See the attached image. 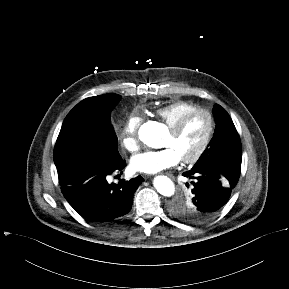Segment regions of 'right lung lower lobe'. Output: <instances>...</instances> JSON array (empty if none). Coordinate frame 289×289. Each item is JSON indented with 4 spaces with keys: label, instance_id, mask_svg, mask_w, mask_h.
<instances>
[{
    "label": "right lung lower lobe",
    "instance_id": "right-lung-lower-lobe-1",
    "mask_svg": "<svg viewBox=\"0 0 289 289\" xmlns=\"http://www.w3.org/2000/svg\"><path fill=\"white\" fill-rule=\"evenodd\" d=\"M122 158L111 163H73L58 168L61 190L69 204L89 221L104 223L125 216L131 209L133 195L143 178L109 184L106 177L121 171ZM122 173V172H121Z\"/></svg>",
    "mask_w": 289,
    "mask_h": 289
}]
</instances>
